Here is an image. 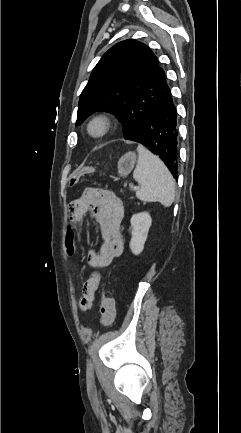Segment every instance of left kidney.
<instances>
[{
	"label": "left kidney",
	"instance_id": "obj_1",
	"mask_svg": "<svg viewBox=\"0 0 241 433\" xmlns=\"http://www.w3.org/2000/svg\"><path fill=\"white\" fill-rule=\"evenodd\" d=\"M152 219L149 213L141 212L131 217L130 249L134 255H139L143 249L151 226Z\"/></svg>",
	"mask_w": 241,
	"mask_h": 433
}]
</instances>
